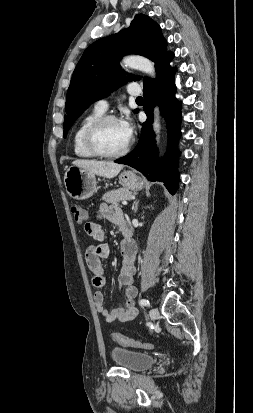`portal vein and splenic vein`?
<instances>
[{
    "label": "portal vein and splenic vein",
    "mask_w": 253,
    "mask_h": 413,
    "mask_svg": "<svg viewBox=\"0 0 253 413\" xmlns=\"http://www.w3.org/2000/svg\"><path fill=\"white\" fill-rule=\"evenodd\" d=\"M122 205H127V201H126V200H123V201H122Z\"/></svg>",
    "instance_id": "obj_1"
}]
</instances>
